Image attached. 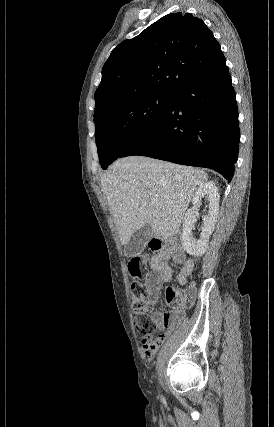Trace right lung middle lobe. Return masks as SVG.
Masks as SVG:
<instances>
[{"mask_svg": "<svg viewBox=\"0 0 274 427\" xmlns=\"http://www.w3.org/2000/svg\"><path fill=\"white\" fill-rule=\"evenodd\" d=\"M172 96L165 93L132 96L94 117L96 145L103 169L163 119Z\"/></svg>", "mask_w": 274, "mask_h": 427, "instance_id": "right-lung-middle-lobe-1", "label": "right lung middle lobe"}]
</instances>
